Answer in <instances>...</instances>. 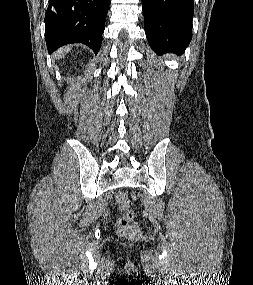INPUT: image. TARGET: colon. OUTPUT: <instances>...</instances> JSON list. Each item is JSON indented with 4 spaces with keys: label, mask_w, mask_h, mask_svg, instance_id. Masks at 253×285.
<instances>
[{
    "label": "colon",
    "mask_w": 253,
    "mask_h": 285,
    "mask_svg": "<svg viewBox=\"0 0 253 285\" xmlns=\"http://www.w3.org/2000/svg\"><path fill=\"white\" fill-rule=\"evenodd\" d=\"M116 201L121 210V215L117 220L118 233L128 240L136 239L140 234L138 225L133 221L134 212L130 206V199L125 192H118Z\"/></svg>",
    "instance_id": "1"
}]
</instances>
